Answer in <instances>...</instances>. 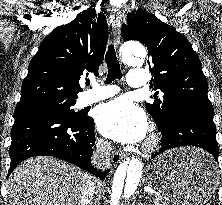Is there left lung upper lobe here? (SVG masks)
Wrapping results in <instances>:
<instances>
[{"instance_id":"5c2ea615","label":"left lung upper lobe","mask_w":222,"mask_h":205,"mask_svg":"<svg viewBox=\"0 0 222 205\" xmlns=\"http://www.w3.org/2000/svg\"><path fill=\"white\" fill-rule=\"evenodd\" d=\"M122 38L125 41L137 40L148 49L153 74L151 86L164 94L159 97L156 92L151 96L153 102L146 104L158 128H164L183 108L213 110L201 61L185 36L155 15L138 9L127 14Z\"/></svg>"}]
</instances>
